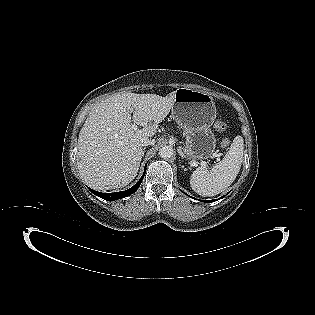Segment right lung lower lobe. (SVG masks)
<instances>
[{
	"instance_id": "obj_1",
	"label": "right lung lower lobe",
	"mask_w": 315,
	"mask_h": 315,
	"mask_svg": "<svg viewBox=\"0 0 315 315\" xmlns=\"http://www.w3.org/2000/svg\"><path fill=\"white\" fill-rule=\"evenodd\" d=\"M146 172V168H145V171H144V174ZM144 174L143 176L140 178V180L133 186L131 187L130 189L126 190V191H122V192H114V193H100V192H97L93 189H90L89 190L95 194L96 196H99L107 201H113V200H117V199H121V198H124V197H127V196H130L131 194H133L140 186L142 180H143V177H144Z\"/></svg>"
}]
</instances>
